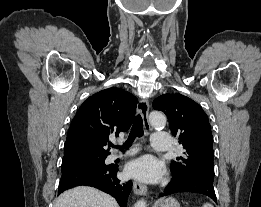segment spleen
I'll return each instance as SVG.
<instances>
[{"label": "spleen", "mask_w": 261, "mask_h": 207, "mask_svg": "<svg viewBox=\"0 0 261 207\" xmlns=\"http://www.w3.org/2000/svg\"><path fill=\"white\" fill-rule=\"evenodd\" d=\"M202 207H213V205H211L209 203H205Z\"/></svg>", "instance_id": "3e777b00"}]
</instances>
